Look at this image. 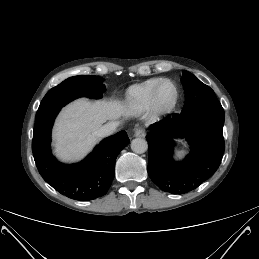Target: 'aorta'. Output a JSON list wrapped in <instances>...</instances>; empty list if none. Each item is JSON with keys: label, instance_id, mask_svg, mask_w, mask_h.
<instances>
[{"label": "aorta", "instance_id": "1", "mask_svg": "<svg viewBox=\"0 0 259 259\" xmlns=\"http://www.w3.org/2000/svg\"><path fill=\"white\" fill-rule=\"evenodd\" d=\"M131 149L137 154L145 153L148 149L147 141L143 138H135L131 142Z\"/></svg>", "mask_w": 259, "mask_h": 259}]
</instances>
